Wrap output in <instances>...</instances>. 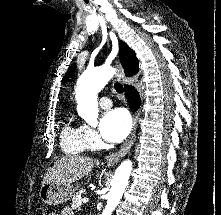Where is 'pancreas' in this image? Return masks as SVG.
I'll return each mask as SVG.
<instances>
[{
	"label": "pancreas",
	"instance_id": "cf45deb5",
	"mask_svg": "<svg viewBox=\"0 0 221 215\" xmlns=\"http://www.w3.org/2000/svg\"><path fill=\"white\" fill-rule=\"evenodd\" d=\"M81 194H85V190H81L80 192H78L76 195L73 196L72 204H71L73 209H77L81 206L82 199L79 198V195Z\"/></svg>",
	"mask_w": 221,
	"mask_h": 215
}]
</instances>
